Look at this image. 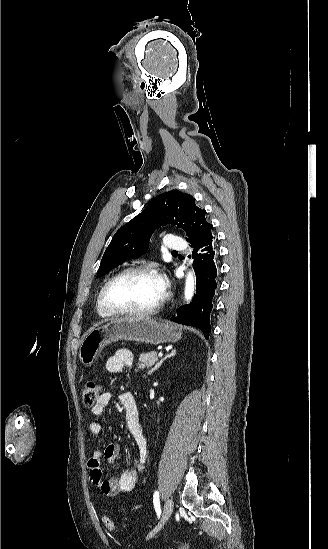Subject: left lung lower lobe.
Here are the masks:
<instances>
[{"mask_svg":"<svg viewBox=\"0 0 328 549\" xmlns=\"http://www.w3.org/2000/svg\"><path fill=\"white\" fill-rule=\"evenodd\" d=\"M214 241L215 237L212 235L192 246L194 248L192 258L194 259L197 293L191 304L181 306L177 311V316L171 318L172 321L180 324L199 327L206 338L209 337L211 330L212 300L218 288L217 251Z\"/></svg>","mask_w":328,"mask_h":549,"instance_id":"left-lung-lower-lobe-1","label":"left lung lower lobe"}]
</instances>
